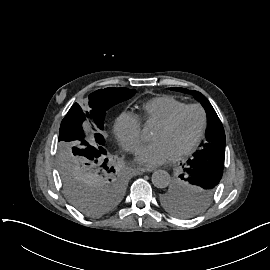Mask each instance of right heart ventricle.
I'll list each match as a JSON object with an SVG mask.
<instances>
[{
  "mask_svg": "<svg viewBox=\"0 0 270 270\" xmlns=\"http://www.w3.org/2000/svg\"><path fill=\"white\" fill-rule=\"evenodd\" d=\"M185 106V102L163 95L144 103L142 106L143 112L135 116L144 125L151 121L161 123Z\"/></svg>",
  "mask_w": 270,
  "mask_h": 270,
  "instance_id": "right-heart-ventricle-1",
  "label": "right heart ventricle"
}]
</instances>
